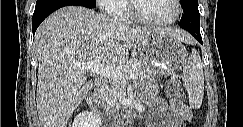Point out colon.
Instances as JSON below:
<instances>
[{"label": "colon", "mask_w": 243, "mask_h": 127, "mask_svg": "<svg viewBox=\"0 0 243 127\" xmlns=\"http://www.w3.org/2000/svg\"><path fill=\"white\" fill-rule=\"evenodd\" d=\"M168 96L173 99L184 100V92L180 81L177 78H172L168 83Z\"/></svg>", "instance_id": "5ec220e1"}]
</instances>
